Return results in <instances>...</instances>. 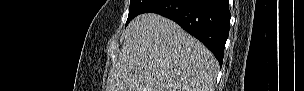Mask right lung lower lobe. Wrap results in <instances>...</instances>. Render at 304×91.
Segmentation results:
<instances>
[{
    "mask_svg": "<svg viewBox=\"0 0 304 91\" xmlns=\"http://www.w3.org/2000/svg\"><path fill=\"white\" fill-rule=\"evenodd\" d=\"M157 13L178 23L223 62L229 34L228 0H150L142 13Z\"/></svg>",
    "mask_w": 304,
    "mask_h": 91,
    "instance_id": "obj_1",
    "label": "right lung lower lobe"
}]
</instances>
